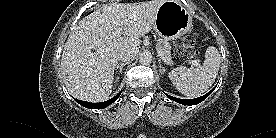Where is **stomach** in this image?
<instances>
[{
  "label": "stomach",
  "instance_id": "stomach-1",
  "mask_svg": "<svg viewBox=\"0 0 276 138\" xmlns=\"http://www.w3.org/2000/svg\"><path fill=\"white\" fill-rule=\"evenodd\" d=\"M191 27L192 16L180 3L166 0L161 4L154 26L160 37L174 40L187 33Z\"/></svg>",
  "mask_w": 276,
  "mask_h": 138
}]
</instances>
